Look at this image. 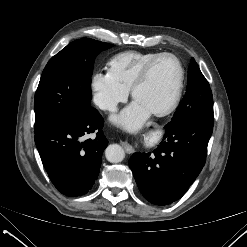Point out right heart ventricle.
Segmentation results:
<instances>
[{
    "label": "right heart ventricle",
    "instance_id": "e07e8e85",
    "mask_svg": "<svg viewBox=\"0 0 247 247\" xmlns=\"http://www.w3.org/2000/svg\"><path fill=\"white\" fill-rule=\"evenodd\" d=\"M159 53L126 51L114 56L108 63V71L124 88L129 90L141 69Z\"/></svg>",
    "mask_w": 247,
    "mask_h": 247
}]
</instances>
